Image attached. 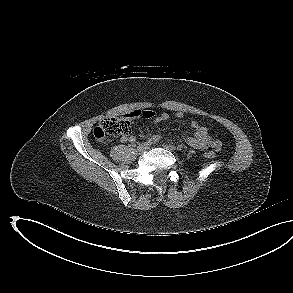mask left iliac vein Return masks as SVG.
Returning a JSON list of instances; mask_svg holds the SVG:
<instances>
[{"mask_svg":"<svg viewBox=\"0 0 293 293\" xmlns=\"http://www.w3.org/2000/svg\"><path fill=\"white\" fill-rule=\"evenodd\" d=\"M163 147L166 148L169 151L174 152L176 150V147L174 145L171 144H163Z\"/></svg>","mask_w":293,"mask_h":293,"instance_id":"left-iliac-vein-1","label":"left iliac vein"}]
</instances>
